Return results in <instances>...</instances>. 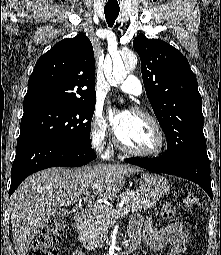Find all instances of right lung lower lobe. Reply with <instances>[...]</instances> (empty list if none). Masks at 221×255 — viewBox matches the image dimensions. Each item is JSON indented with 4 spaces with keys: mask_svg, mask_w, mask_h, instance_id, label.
<instances>
[{
    "mask_svg": "<svg viewBox=\"0 0 221 255\" xmlns=\"http://www.w3.org/2000/svg\"><path fill=\"white\" fill-rule=\"evenodd\" d=\"M96 158L91 147L69 145L33 136H19L11 170L9 196L30 174L54 166L79 167Z\"/></svg>",
    "mask_w": 221,
    "mask_h": 255,
    "instance_id": "right-lung-lower-lobe-1",
    "label": "right lung lower lobe"
}]
</instances>
